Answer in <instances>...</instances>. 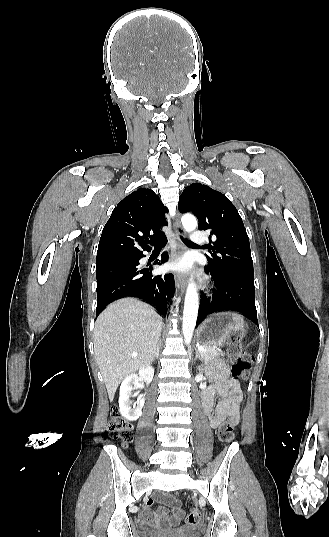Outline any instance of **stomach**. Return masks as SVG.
Returning a JSON list of instances; mask_svg holds the SVG:
<instances>
[{"label": "stomach", "instance_id": "obj_1", "mask_svg": "<svg viewBox=\"0 0 329 537\" xmlns=\"http://www.w3.org/2000/svg\"><path fill=\"white\" fill-rule=\"evenodd\" d=\"M243 317L232 312L211 314L198 328L197 340L204 346L223 345L231 336H239L246 332Z\"/></svg>", "mask_w": 329, "mask_h": 537}]
</instances>
